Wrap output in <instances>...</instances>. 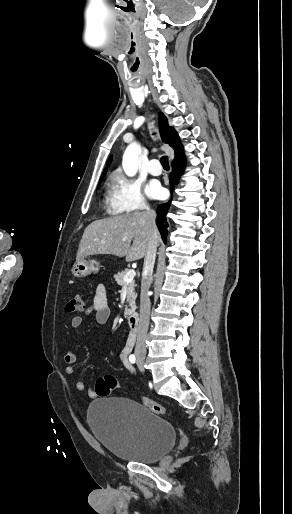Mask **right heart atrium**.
Instances as JSON below:
<instances>
[{
	"label": "right heart atrium",
	"mask_w": 292,
	"mask_h": 514,
	"mask_svg": "<svg viewBox=\"0 0 292 514\" xmlns=\"http://www.w3.org/2000/svg\"><path fill=\"white\" fill-rule=\"evenodd\" d=\"M142 181L139 178L127 177L117 173L110 188L111 197L116 206L122 209H145L147 204L142 192Z\"/></svg>",
	"instance_id": "right-heart-atrium-1"
}]
</instances>
